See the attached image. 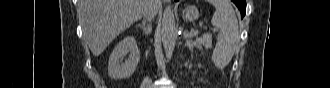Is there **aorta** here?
<instances>
[{"instance_id": "obj_1", "label": "aorta", "mask_w": 330, "mask_h": 88, "mask_svg": "<svg viewBox=\"0 0 330 88\" xmlns=\"http://www.w3.org/2000/svg\"><path fill=\"white\" fill-rule=\"evenodd\" d=\"M161 37L166 58L171 59L177 38L175 16L171 6H167L163 12Z\"/></svg>"}]
</instances>
